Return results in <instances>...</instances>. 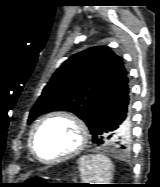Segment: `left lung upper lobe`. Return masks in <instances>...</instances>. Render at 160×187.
Returning <instances> with one entry per match:
<instances>
[{"label": "left lung upper lobe", "instance_id": "obj_1", "mask_svg": "<svg viewBox=\"0 0 160 187\" xmlns=\"http://www.w3.org/2000/svg\"><path fill=\"white\" fill-rule=\"evenodd\" d=\"M128 83L121 58L106 46H96L67 59L53 74L30 111L28 123L36 117L66 110L83 119L91 130L105 102ZM127 125L116 134H122ZM123 148L130 145V129Z\"/></svg>", "mask_w": 160, "mask_h": 187}]
</instances>
